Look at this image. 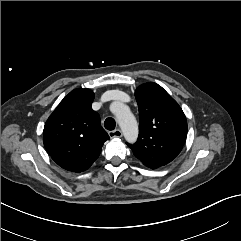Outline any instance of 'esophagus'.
I'll return each mask as SVG.
<instances>
[{"instance_id": "34e87169", "label": "esophagus", "mask_w": 241, "mask_h": 241, "mask_svg": "<svg viewBox=\"0 0 241 241\" xmlns=\"http://www.w3.org/2000/svg\"><path fill=\"white\" fill-rule=\"evenodd\" d=\"M110 138H120L122 137V131L120 129H116L113 131H109Z\"/></svg>"}]
</instances>
